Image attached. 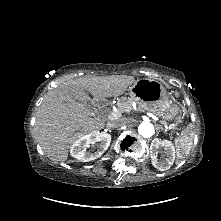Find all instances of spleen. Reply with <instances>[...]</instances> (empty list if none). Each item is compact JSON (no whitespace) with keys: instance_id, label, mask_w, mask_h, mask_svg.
I'll list each match as a JSON object with an SVG mask.
<instances>
[{"instance_id":"1","label":"spleen","mask_w":221,"mask_h":221,"mask_svg":"<svg viewBox=\"0 0 221 221\" xmlns=\"http://www.w3.org/2000/svg\"><path fill=\"white\" fill-rule=\"evenodd\" d=\"M193 138L194 133L188 127L182 132L181 137L175 139V146L178 159L183 160L186 156L189 155L193 144Z\"/></svg>"}]
</instances>
